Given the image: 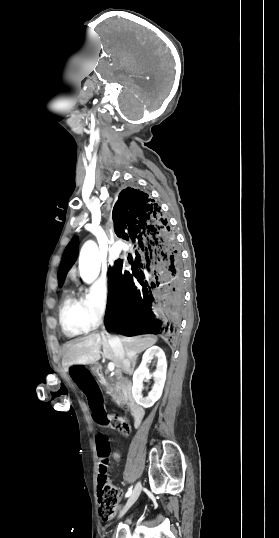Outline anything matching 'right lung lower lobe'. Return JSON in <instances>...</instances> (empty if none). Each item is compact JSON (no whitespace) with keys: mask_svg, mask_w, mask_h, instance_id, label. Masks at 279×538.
Wrapping results in <instances>:
<instances>
[{"mask_svg":"<svg viewBox=\"0 0 279 538\" xmlns=\"http://www.w3.org/2000/svg\"><path fill=\"white\" fill-rule=\"evenodd\" d=\"M118 237L136 248L132 273L120 261L109 270L104 323L123 334H172L184 311L181 253L161 208L148 194L128 187L113 209Z\"/></svg>","mask_w":279,"mask_h":538,"instance_id":"obj_1","label":"right lung lower lobe"}]
</instances>
